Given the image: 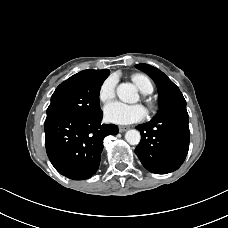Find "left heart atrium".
<instances>
[{
    "label": "left heart atrium",
    "mask_w": 228,
    "mask_h": 228,
    "mask_svg": "<svg viewBox=\"0 0 228 228\" xmlns=\"http://www.w3.org/2000/svg\"><path fill=\"white\" fill-rule=\"evenodd\" d=\"M146 111L141 105H128L119 101L111 102L104 108L105 120L119 125L142 121Z\"/></svg>",
    "instance_id": "left-heart-atrium-1"
}]
</instances>
